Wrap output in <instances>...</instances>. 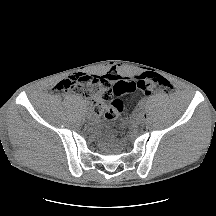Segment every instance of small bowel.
Here are the masks:
<instances>
[{
  "instance_id": "c3829d8e",
  "label": "small bowel",
  "mask_w": 216,
  "mask_h": 216,
  "mask_svg": "<svg viewBox=\"0 0 216 216\" xmlns=\"http://www.w3.org/2000/svg\"><path fill=\"white\" fill-rule=\"evenodd\" d=\"M105 77H106L107 79H109L110 81H112V82H115V81H117V80L122 79L121 76H119V75H117V74H115V73H112V72H109L108 74H106ZM93 110H94V112H95L96 114H99V113H100L99 110H96V109H95L94 105H93Z\"/></svg>"
}]
</instances>
